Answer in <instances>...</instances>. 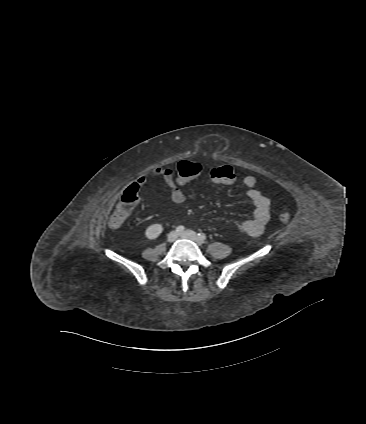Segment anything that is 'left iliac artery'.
<instances>
[{
    "label": "left iliac artery",
    "instance_id": "1",
    "mask_svg": "<svg viewBox=\"0 0 366 424\" xmlns=\"http://www.w3.org/2000/svg\"><path fill=\"white\" fill-rule=\"evenodd\" d=\"M198 236L202 241L206 239V235L204 233H198Z\"/></svg>",
    "mask_w": 366,
    "mask_h": 424
}]
</instances>
